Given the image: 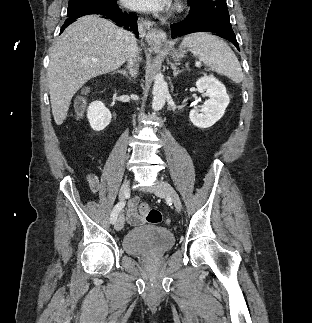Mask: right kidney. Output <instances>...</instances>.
<instances>
[{
    "label": "right kidney",
    "instance_id": "right-kidney-1",
    "mask_svg": "<svg viewBox=\"0 0 312 323\" xmlns=\"http://www.w3.org/2000/svg\"><path fill=\"white\" fill-rule=\"evenodd\" d=\"M87 118L91 128L100 132L109 126L112 116L110 110L105 108L102 102H92L87 110Z\"/></svg>",
    "mask_w": 312,
    "mask_h": 323
}]
</instances>
